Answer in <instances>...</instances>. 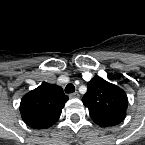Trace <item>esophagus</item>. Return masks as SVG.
<instances>
[{
    "instance_id": "1",
    "label": "esophagus",
    "mask_w": 145,
    "mask_h": 145,
    "mask_svg": "<svg viewBox=\"0 0 145 145\" xmlns=\"http://www.w3.org/2000/svg\"><path fill=\"white\" fill-rule=\"evenodd\" d=\"M70 98H79L80 97V94L78 92H74V93H71L69 95Z\"/></svg>"
}]
</instances>
